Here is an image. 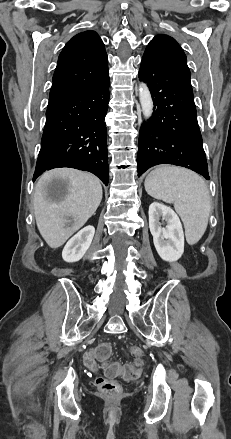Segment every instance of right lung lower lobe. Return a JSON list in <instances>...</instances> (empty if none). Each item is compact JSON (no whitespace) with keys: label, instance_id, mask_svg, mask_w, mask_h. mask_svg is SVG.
<instances>
[{"label":"right lung lower lobe","instance_id":"1","mask_svg":"<svg viewBox=\"0 0 231 439\" xmlns=\"http://www.w3.org/2000/svg\"><path fill=\"white\" fill-rule=\"evenodd\" d=\"M109 84L108 75L48 105L33 181L46 170L70 167L89 171L108 185L104 118L108 110Z\"/></svg>","mask_w":231,"mask_h":439}]
</instances>
